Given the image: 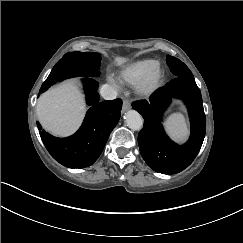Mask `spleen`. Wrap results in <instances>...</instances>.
<instances>
[{"mask_svg": "<svg viewBox=\"0 0 243 243\" xmlns=\"http://www.w3.org/2000/svg\"><path fill=\"white\" fill-rule=\"evenodd\" d=\"M166 132L177 143L186 142L189 135L187 121L182 113H173L164 122Z\"/></svg>", "mask_w": 243, "mask_h": 243, "instance_id": "obj_1", "label": "spleen"}]
</instances>
